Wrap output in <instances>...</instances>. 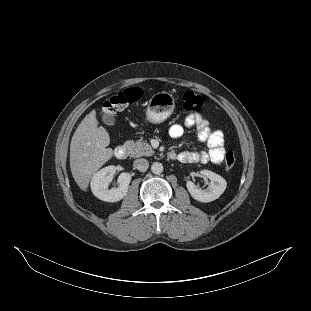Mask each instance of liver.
<instances>
[{
  "instance_id": "1",
  "label": "liver",
  "mask_w": 311,
  "mask_h": 311,
  "mask_svg": "<svg viewBox=\"0 0 311 311\" xmlns=\"http://www.w3.org/2000/svg\"><path fill=\"white\" fill-rule=\"evenodd\" d=\"M109 133L98 126L96 111L92 110L75 130L70 143V168L73 178L83 191L92 175L112 156Z\"/></svg>"
}]
</instances>
